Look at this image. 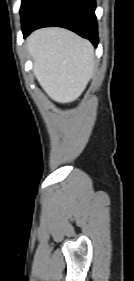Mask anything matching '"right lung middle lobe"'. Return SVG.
I'll return each instance as SVG.
<instances>
[{
  "label": "right lung middle lobe",
  "mask_w": 134,
  "mask_h": 281,
  "mask_svg": "<svg viewBox=\"0 0 134 281\" xmlns=\"http://www.w3.org/2000/svg\"><path fill=\"white\" fill-rule=\"evenodd\" d=\"M35 2H36V0H22V5H21V9H20L22 22L27 17L30 9L32 8V6L34 5Z\"/></svg>",
  "instance_id": "dd1d6c3e"
}]
</instances>
